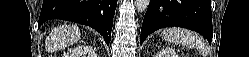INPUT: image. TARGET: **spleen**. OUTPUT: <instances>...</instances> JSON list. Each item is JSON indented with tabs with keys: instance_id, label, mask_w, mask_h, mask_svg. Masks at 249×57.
<instances>
[{
	"instance_id": "spleen-1",
	"label": "spleen",
	"mask_w": 249,
	"mask_h": 57,
	"mask_svg": "<svg viewBox=\"0 0 249 57\" xmlns=\"http://www.w3.org/2000/svg\"><path fill=\"white\" fill-rule=\"evenodd\" d=\"M161 38L170 43L196 48L204 55L207 54L205 41L199 35L187 29L178 27L164 29Z\"/></svg>"
}]
</instances>
